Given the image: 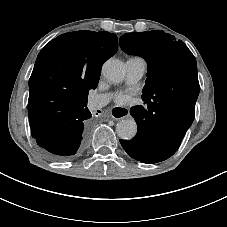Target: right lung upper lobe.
I'll use <instances>...</instances> for the list:
<instances>
[{
    "label": "right lung upper lobe",
    "instance_id": "cb5924a9",
    "mask_svg": "<svg viewBox=\"0 0 227 227\" xmlns=\"http://www.w3.org/2000/svg\"><path fill=\"white\" fill-rule=\"evenodd\" d=\"M117 48V36L106 31L70 32L50 41L38 54L29 79L31 130L49 132L69 122L72 107L87 102L103 63Z\"/></svg>",
    "mask_w": 227,
    "mask_h": 227
}]
</instances>
